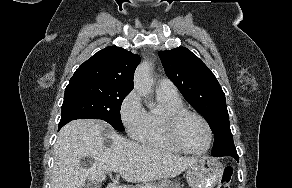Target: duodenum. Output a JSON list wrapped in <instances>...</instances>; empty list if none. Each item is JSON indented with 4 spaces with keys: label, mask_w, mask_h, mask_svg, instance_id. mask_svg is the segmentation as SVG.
I'll return each instance as SVG.
<instances>
[{
    "label": "duodenum",
    "mask_w": 292,
    "mask_h": 188,
    "mask_svg": "<svg viewBox=\"0 0 292 188\" xmlns=\"http://www.w3.org/2000/svg\"><path fill=\"white\" fill-rule=\"evenodd\" d=\"M107 188H122V187L115 184H110Z\"/></svg>",
    "instance_id": "1"
}]
</instances>
